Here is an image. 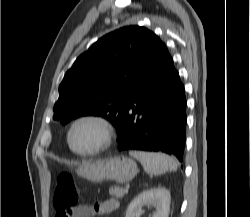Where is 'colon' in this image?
<instances>
[{"instance_id": "obj_1", "label": "colon", "mask_w": 250, "mask_h": 217, "mask_svg": "<svg viewBox=\"0 0 250 217\" xmlns=\"http://www.w3.org/2000/svg\"><path fill=\"white\" fill-rule=\"evenodd\" d=\"M79 202V190L74 177L69 173L60 174L56 180L53 195L55 217H71Z\"/></svg>"}]
</instances>
